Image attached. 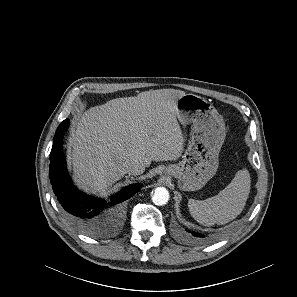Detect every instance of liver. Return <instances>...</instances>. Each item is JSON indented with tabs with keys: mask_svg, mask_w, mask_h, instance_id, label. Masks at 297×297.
<instances>
[{
	"mask_svg": "<svg viewBox=\"0 0 297 297\" xmlns=\"http://www.w3.org/2000/svg\"><path fill=\"white\" fill-rule=\"evenodd\" d=\"M183 95L175 89L149 90L85 111L69 138L75 182L96 193L121 179L128 161L148 167L152 161L179 158L184 139L176 104Z\"/></svg>",
	"mask_w": 297,
	"mask_h": 297,
	"instance_id": "liver-1",
	"label": "liver"
}]
</instances>
